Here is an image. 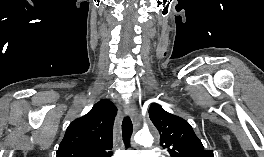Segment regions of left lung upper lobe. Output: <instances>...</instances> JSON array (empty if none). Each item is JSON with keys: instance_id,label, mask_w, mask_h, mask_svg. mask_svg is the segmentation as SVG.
<instances>
[{"instance_id": "5c2ea615", "label": "left lung upper lobe", "mask_w": 264, "mask_h": 157, "mask_svg": "<svg viewBox=\"0 0 264 157\" xmlns=\"http://www.w3.org/2000/svg\"><path fill=\"white\" fill-rule=\"evenodd\" d=\"M150 119L160 134V145L171 157H214L205 150L191 125L184 119L166 112L159 104L149 108Z\"/></svg>"}]
</instances>
